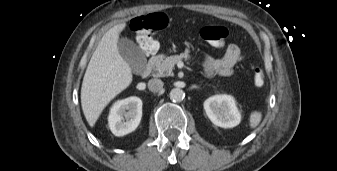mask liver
Wrapping results in <instances>:
<instances>
[{"instance_id": "1", "label": "liver", "mask_w": 337, "mask_h": 171, "mask_svg": "<svg viewBox=\"0 0 337 171\" xmlns=\"http://www.w3.org/2000/svg\"><path fill=\"white\" fill-rule=\"evenodd\" d=\"M125 26V23L115 25L103 35L86 69L81 105L91 127L107 104L132 82L131 68L118 49L119 35Z\"/></svg>"}]
</instances>
